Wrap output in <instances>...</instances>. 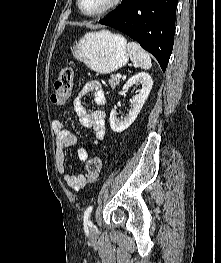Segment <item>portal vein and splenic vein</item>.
I'll return each instance as SVG.
<instances>
[{"label":"portal vein and splenic vein","instance_id":"obj_1","mask_svg":"<svg viewBox=\"0 0 221 263\" xmlns=\"http://www.w3.org/2000/svg\"><path fill=\"white\" fill-rule=\"evenodd\" d=\"M116 77L120 79V78H121V74H120V73H117V74H116Z\"/></svg>","mask_w":221,"mask_h":263}]
</instances>
